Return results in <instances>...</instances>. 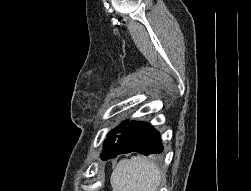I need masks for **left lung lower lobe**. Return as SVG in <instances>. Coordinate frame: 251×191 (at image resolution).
<instances>
[{"instance_id": "left-lung-lower-lobe-1", "label": "left lung lower lobe", "mask_w": 251, "mask_h": 191, "mask_svg": "<svg viewBox=\"0 0 251 191\" xmlns=\"http://www.w3.org/2000/svg\"><path fill=\"white\" fill-rule=\"evenodd\" d=\"M162 151L160 135L150 124L131 121L119 134L107 159L115 158L122 153L138 152L143 155H150L159 154Z\"/></svg>"}]
</instances>
